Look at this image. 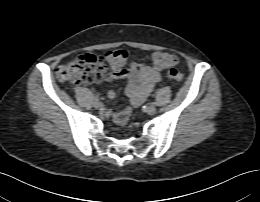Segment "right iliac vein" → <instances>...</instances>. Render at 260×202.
Returning <instances> with one entry per match:
<instances>
[{"label": "right iliac vein", "mask_w": 260, "mask_h": 202, "mask_svg": "<svg viewBox=\"0 0 260 202\" xmlns=\"http://www.w3.org/2000/svg\"><path fill=\"white\" fill-rule=\"evenodd\" d=\"M93 105L96 109H99L102 106L101 102L98 100H96Z\"/></svg>", "instance_id": "right-iliac-vein-1"}]
</instances>
